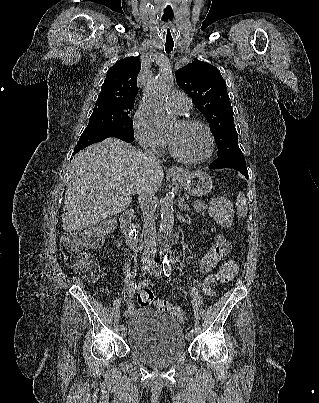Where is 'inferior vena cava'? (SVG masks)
Wrapping results in <instances>:
<instances>
[{"label": "inferior vena cava", "mask_w": 319, "mask_h": 403, "mask_svg": "<svg viewBox=\"0 0 319 403\" xmlns=\"http://www.w3.org/2000/svg\"><path fill=\"white\" fill-rule=\"evenodd\" d=\"M144 158L149 167H156L159 164V160L154 153L150 150L144 151ZM151 181L142 183L137 189L138 201L143 214L144 226V240L145 247L150 250H156V228L154 219V195L156 192Z\"/></svg>", "instance_id": "obj_1"}]
</instances>
